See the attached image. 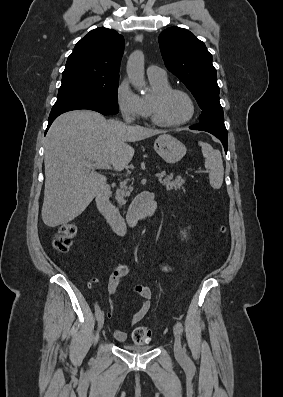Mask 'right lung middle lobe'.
Segmentation results:
<instances>
[{
	"mask_svg": "<svg viewBox=\"0 0 283 397\" xmlns=\"http://www.w3.org/2000/svg\"><path fill=\"white\" fill-rule=\"evenodd\" d=\"M119 78L64 73L54 106L86 105L117 114Z\"/></svg>",
	"mask_w": 283,
	"mask_h": 397,
	"instance_id": "obj_1",
	"label": "right lung middle lobe"
}]
</instances>
